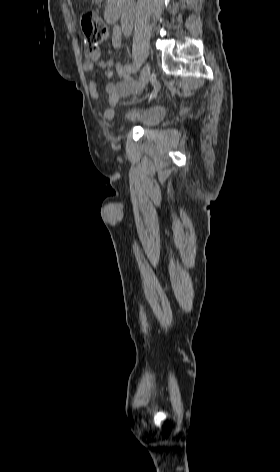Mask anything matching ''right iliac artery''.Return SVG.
<instances>
[{"mask_svg":"<svg viewBox=\"0 0 280 472\" xmlns=\"http://www.w3.org/2000/svg\"><path fill=\"white\" fill-rule=\"evenodd\" d=\"M120 44H121V29L119 26H116L114 28V32H113V45L114 47H120ZM124 72L127 74V75H135L136 74V69L134 66L132 65H125L124 66Z\"/></svg>","mask_w":280,"mask_h":472,"instance_id":"82829eb1","label":"right iliac artery"}]
</instances>
